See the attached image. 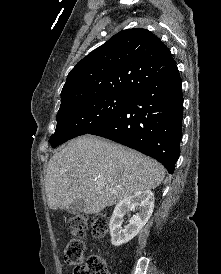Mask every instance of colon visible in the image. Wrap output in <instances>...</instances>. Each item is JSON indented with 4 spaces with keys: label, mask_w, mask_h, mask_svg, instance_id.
I'll use <instances>...</instances> for the list:
<instances>
[{
    "label": "colon",
    "mask_w": 221,
    "mask_h": 274,
    "mask_svg": "<svg viewBox=\"0 0 221 274\" xmlns=\"http://www.w3.org/2000/svg\"><path fill=\"white\" fill-rule=\"evenodd\" d=\"M91 224L92 234L96 239H103L109 229V218L105 214H98L89 219L84 214H77L70 218L69 229L74 237L67 243L64 250V261L74 266L72 274H109L106 260L100 255H91L84 261L85 245L82 237L88 224Z\"/></svg>",
    "instance_id": "5ec220e1"
}]
</instances>
